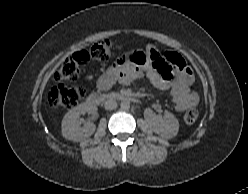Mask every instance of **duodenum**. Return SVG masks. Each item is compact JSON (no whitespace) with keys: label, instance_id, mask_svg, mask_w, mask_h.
I'll return each mask as SVG.
<instances>
[{"label":"duodenum","instance_id":"obj_1","mask_svg":"<svg viewBox=\"0 0 248 194\" xmlns=\"http://www.w3.org/2000/svg\"><path fill=\"white\" fill-rule=\"evenodd\" d=\"M118 100L125 102L138 103V100L124 93L112 92V93H90L87 97V102L91 105H100L105 101Z\"/></svg>","mask_w":248,"mask_h":194}]
</instances>
